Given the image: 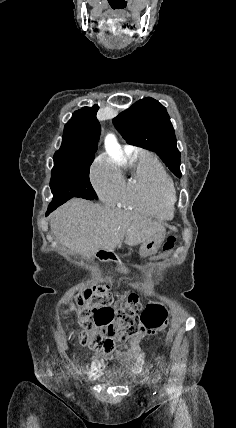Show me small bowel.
<instances>
[{
  "label": "small bowel",
  "instance_id": "small-bowel-1",
  "mask_svg": "<svg viewBox=\"0 0 236 428\" xmlns=\"http://www.w3.org/2000/svg\"><path fill=\"white\" fill-rule=\"evenodd\" d=\"M125 331L121 330V338L124 336ZM151 332H139L133 336L128 337L121 346L111 355L94 354L91 356L88 365V374L91 377H97L105 368V362L108 360H116L124 364H129L133 361L140 363L143 358V353L140 347L141 341ZM154 333V331H153Z\"/></svg>",
  "mask_w": 236,
  "mask_h": 428
}]
</instances>
